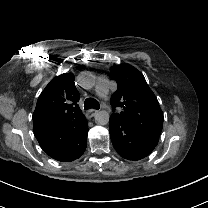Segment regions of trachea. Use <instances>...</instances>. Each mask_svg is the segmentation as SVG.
<instances>
[{"label":"trachea","instance_id":"1","mask_svg":"<svg viewBox=\"0 0 208 208\" xmlns=\"http://www.w3.org/2000/svg\"><path fill=\"white\" fill-rule=\"evenodd\" d=\"M99 109L100 108V104L97 100L95 99H92V98H87L85 101H84V109L85 110H88V109Z\"/></svg>","mask_w":208,"mask_h":208}]
</instances>
